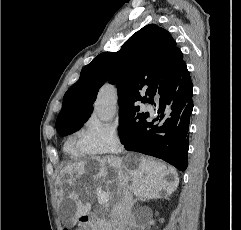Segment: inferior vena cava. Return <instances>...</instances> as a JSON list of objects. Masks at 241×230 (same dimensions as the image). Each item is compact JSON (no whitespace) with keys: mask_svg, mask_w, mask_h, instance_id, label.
<instances>
[{"mask_svg":"<svg viewBox=\"0 0 241 230\" xmlns=\"http://www.w3.org/2000/svg\"><path fill=\"white\" fill-rule=\"evenodd\" d=\"M117 172L118 182L122 188V196L111 210V225L113 230H126L134 200L128 182L119 167H117Z\"/></svg>","mask_w":241,"mask_h":230,"instance_id":"1","label":"inferior vena cava"}]
</instances>
